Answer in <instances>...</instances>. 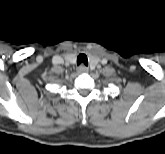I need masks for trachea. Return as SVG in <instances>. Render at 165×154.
<instances>
[{
    "label": "trachea",
    "mask_w": 165,
    "mask_h": 154,
    "mask_svg": "<svg viewBox=\"0 0 165 154\" xmlns=\"http://www.w3.org/2000/svg\"><path fill=\"white\" fill-rule=\"evenodd\" d=\"M77 64L78 65L83 64V65L87 66L88 65L87 56L85 54H79L77 57Z\"/></svg>",
    "instance_id": "1"
}]
</instances>
